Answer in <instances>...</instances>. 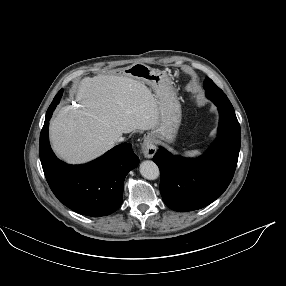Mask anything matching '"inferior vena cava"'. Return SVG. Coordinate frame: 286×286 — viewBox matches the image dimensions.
<instances>
[{"label":"inferior vena cava","mask_w":286,"mask_h":286,"mask_svg":"<svg viewBox=\"0 0 286 286\" xmlns=\"http://www.w3.org/2000/svg\"><path fill=\"white\" fill-rule=\"evenodd\" d=\"M124 141V137L120 136L115 139V142H122Z\"/></svg>","instance_id":"obj_1"}]
</instances>
